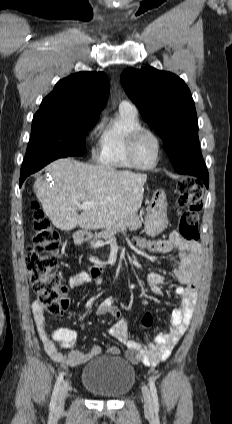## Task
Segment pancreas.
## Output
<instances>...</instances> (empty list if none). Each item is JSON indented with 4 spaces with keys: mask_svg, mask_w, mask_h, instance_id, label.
<instances>
[{
    "mask_svg": "<svg viewBox=\"0 0 232 424\" xmlns=\"http://www.w3.org/2000/svg\"><path fill=\"white\" fill-rule=\"evenodd\" d=\"M142 223H143V221L140 218V216H138L136 214L129 215V216L125 217L124 219H122L118 222H115L110 227H107L104 231L97 233L96 236L100 239L107 240L112 235H114V234H116V233H118L122 230H126V229H129L130 231L137 230L142 226Z\"/></svg>",
    "mask_w": 232,
    "mask_h": 424,
    "instance_id": "1",
    "label": "pancreas"
}]
</instances>
